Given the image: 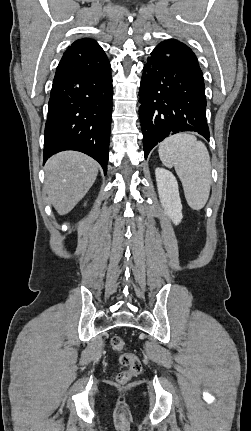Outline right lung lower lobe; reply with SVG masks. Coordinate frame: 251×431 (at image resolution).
Here are the masks:
<instances>
[{
    "mask_svg": "<svg viewBox=\"0 0 251 431\" xmlns=\"http://www.w3.org/2000/svg\"><path fill=\"white\" fill-rule=\"evenodd\" d=\"M109 60L99 45L67 49L56 69L45 125L43 161L81 151L107 172L112 114Z\"/></svg>",
    "mask_w": 251,
    "mask_h": 431,
    "instance_id": "obj_1",
    "label": "right lung lower lobe"
}]
</instances>
